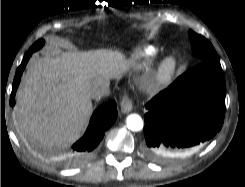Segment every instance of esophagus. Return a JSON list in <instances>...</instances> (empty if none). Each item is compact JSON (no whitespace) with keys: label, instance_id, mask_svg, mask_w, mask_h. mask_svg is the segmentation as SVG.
<instances>
[{"label":"esophagus","instance_id":"34e87169","mask_svg":"<svg viewBox=\"0 0 245 187\" xmlns=\"http://www.w3.org/2000/svg\"><path fill=\"white\" fill-rule=\"evenodd\" d=\"M120 107H121L122 113H129L130 111H132L133 106H132V102L128 95L123 96L120 102Z\"/></svg>","mask_w":245,"mask_h":187}]
</instances>
